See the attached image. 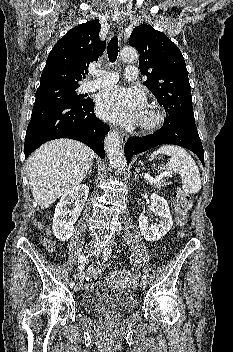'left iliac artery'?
Returning <instances> with one entry per match:
<instances>
[{
    "instance_id": "obj_1",
    "label": "left iliac artery",
    "mask_w": 233,
    "mask_h": 352,
    "mask_svg": "<svg viewBox=\"0 0 233 352\" xmlns=\"http://www.w3.org/2000/svg\"><path fill=\"white\" fill-rule=\"evenodd\" d=\"M112 249L111 247L105 248L104 253H103V259L108 260L109 256L111 255ZM142 282L147 283V276L143 275L142 276Z\"/></svg>"
}]
</instances>
